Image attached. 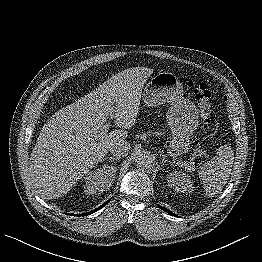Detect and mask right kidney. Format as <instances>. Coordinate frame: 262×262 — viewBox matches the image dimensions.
<instances>
[{"label":"right kidney","instance_id":"1","mask_svg":"<svg viewBox=\"0 0 262 262\" xmlns=\"http://www.w3.org/2000/svg\"><path fill=\"white\" fill-rule=\"evenodd\" d=\"M116 170L113 166H104L95 171L89 172L85 177L86 194H100L112 186Z\"/></svg>","mask_w":262,"mask_h":262}]
</instances>
